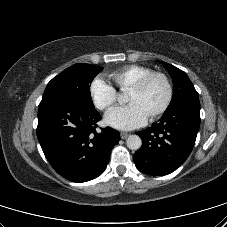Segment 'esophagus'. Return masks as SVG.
Returning a JSON list of instances; mask_svg holds the SVG:
<instances>
[{
    "label": "esophagus",
    "mask_w": 227,
    "mask_h": 227,
    "mask_svg": "<svg viewBox=\"0 0 227 227\" xmlns=\"http://www.w3.org/2000/svg\"><path fill=\"white\" fill-rule=\"evenodd\" d=\"M120 136H121V139H126L129 136V133L121 132Z\"/></svg>",
    "instance_id": "34e87169"
}]
</instances>
